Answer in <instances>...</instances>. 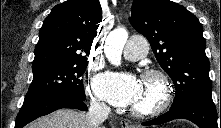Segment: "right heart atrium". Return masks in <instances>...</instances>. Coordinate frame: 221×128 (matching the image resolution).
I'll return each mask as SVG.
<instances>
[{"label":"right heart atrium","instance_id":"d8ad5b80","mask_svg":"<svg viewBox=\"0 0 221 128\" xmlns=\"http://www.w3.org/2000/svg\"><path fill=\"white\" fill-rule=\"evenodd\" d=\"M90 99H91V105L96 108H104L103 102L93 93V91L90 90L89 92Z\"/></svg>","mask_w":221,"mask_h":128}]
</instances>
